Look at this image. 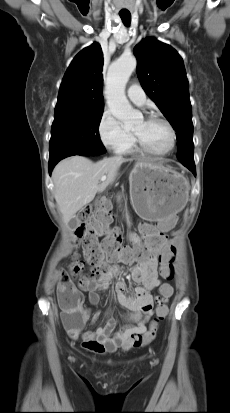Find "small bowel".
<instances>
[{
	"instance_id": "obj_1",
	"label": "small bowel",
	"mask_w": 230,
	"mask_h": 413,
	"mask_svg": "<svg viewBox=\"0 0 230 413\" xmlns=\"http://www.w3.org/2000/svg\"><path fill=\"white\" fill-rule=\"evenodd\" d=\"M178 221L179 216L172 214L170 218H161L160 222H155L154 227H152V218H141V231L147 240L159 235V231H173L175 223ZM130 240L134 247L141 243V238L135 233L130 234ZM119 260L118 258L109 259L111 265L108 266L107 272L98 281L91 282L87 280L80 284L78 288H73L70 285L61 287L60 285L58 289L59 295L62 291L71 290L79 296L80 323L74 325L71 313L66 310L63 311L62 320L68 335L74 340L81 338L83 348L93 353L103 354L113 352L118 348H129L134 338L145 334L147 331L146 323L149 316L153 314V297L150 291L158 289L160 296L166 299L173 295V287L168 283H163L160 277H164L157 273L158 263L156 258L141 261L130 271L131 278L140 284L134 289L133 295L127 296L125 294L126 288L123 282L118 281L114 285L115 300L125 310L122 314L125 326L115 330L116 320L108 313L102 326L94 331H83L84 324L90 319L91 322L98 320L100 312L92 314L91 309L83 308L81 291H88L89 303L97 305L99 302L98 291L108 289L111 280L121 272L120 266L116 264Z\"/></svg>"
}]
</instances>
